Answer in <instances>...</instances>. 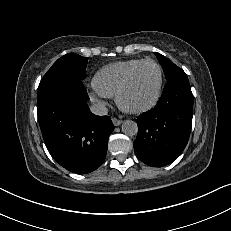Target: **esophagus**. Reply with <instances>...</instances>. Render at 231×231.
<instances>
[{"instance_id": "34e87169", "label": "esophagus", "mask_w": 231, "mask_h": 231, "mask_svg": "<svg viewBox=\"0 0 231 231\" xmlns=\"http://www.w3.org/2000/svg\"><path fill=\"white\" fill-rule=\"evenodd\" d=\"M112 122L115 126H119L122 124L123 121L114 117L112 118Z\"/></svg>"}]
</instances>
